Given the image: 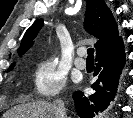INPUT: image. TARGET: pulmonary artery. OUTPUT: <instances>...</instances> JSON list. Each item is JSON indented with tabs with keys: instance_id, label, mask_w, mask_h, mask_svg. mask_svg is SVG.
<instances>
[{
	"instance_id": "pulmonary-artery-1",
	"label": "pulmonary artery",
	"mask_w": 133,
	"mask_h": 118,
	"mask_svg": "<svg viewBox=\"0 0 133 118\" xmlns=\"http://www.w3.org/2000/svg\"><path fill=\"white\" fill-rule=\"evenodd\" d=\"M78 57L75 59V66L79 69L86 68V61L83 59V55L85 54V49L80 48L77 51Z\"/></svg>"
}]
</instances>
